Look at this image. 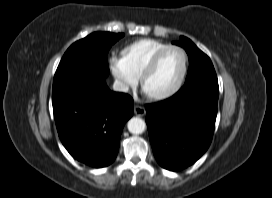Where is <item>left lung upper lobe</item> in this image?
<instances>
[{"mask_svg":"<svg viewBox=\"0 0 272 198\" xmlns=\"http://www.w3.org/2000/svg\"><path fill=\"white\" fill-rule=\"evenodd\" d=\"M180 39V41L173 43L183 47L189 56L190 64L186 82L200 77L216 76L210 58L198 49L190 39L184 36H181Z\"/></svg>","mask_w":272,"mask_h":198,"instance_id":"left-lung-upper-lobe-1","label":"left lung upper lobe"}]
</instances>
